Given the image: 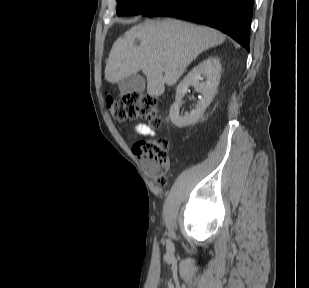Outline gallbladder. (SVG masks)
<instances>
[{
    "label": "gallbladder",
    "instance_id": "gallbladder-1",
    "mask_svg": "<svg viewBox=\"0 0 309 288\" xmlns=\"http://www.w3.org/2000/svg\"><path fill=\"white\" fill-rule=\"evenodd\" d=\"M118 88L121 94L142 93L145 90V79L137 73L132 74L122 79L118 84Z\"/></svg>",
    "mask_w": 309,
    "mask_h": 288
}]
</instances>
